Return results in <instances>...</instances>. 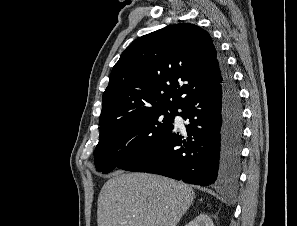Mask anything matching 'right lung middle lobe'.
Instances as JSON below:
<instances>
[{
	"instance_id": "obj_1",
	"label": "right lung middle lobe",
	"mask_w": 297,
	"mask_h": 226,
	"mask_svg": "<svg viewBox=\"0 0 297 226\" xmlns=\"http://www.w3.org/2000/svg\"><path fill=\"white\" fill-rule=\"evenodd\" d=\"M176 110H154L139 114L100 130L94 151L95 166L104 174L122 169L148 151L174 126Z\"/></svg>"
}]
</instances>
